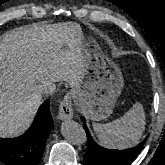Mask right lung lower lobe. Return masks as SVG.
<instances>
[{"label":"right lung lower lobe","instance_id":"right-lung-lower-lobe-1","mask_svg":"<svg viewBox=\"0 0 165 165\" xmlns=\"http://www.w3.org/2000/svg\"><path fill=\"white\" fill-rule=\"evenodd\" d=\"M49 100L38 109L30 128L21 136L0 138V161L6 165H37L46 146V139L54 127Z\"/></svg>","mask_w":165,"mask_h":165}]
</instances>
